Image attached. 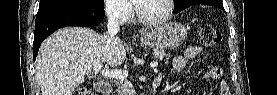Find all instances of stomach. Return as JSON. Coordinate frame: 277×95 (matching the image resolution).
Masks as SVG:
<instances>
[{
	"label": "stomach",
	"instance_id": "stomach-1",
	"mask_svg": "<svg viewBox=\"0 0 277 95\" xmlns=\"http://www.w3.org/2000/svg\"><path fill=\"white\" fill-rule=\"evenodd\" d=\"M186 37V28L173 22L146 30L141 34V41L156 49H174L179 47Z\"/></svg>",
	"mask_w": 277,
	"mask_h": 95
}]
</instances>
